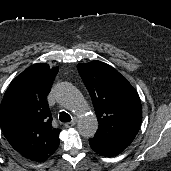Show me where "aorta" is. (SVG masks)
Returning a JSON list of instances; mask_svg holds the SVG:
<instances>
[{
	"instance_id": "1",
	"label": "aorta",
	"mask_w": 171,
	"mask_h": 171,
	"mask_svg": "<svg viewBox=\"0 0 171 171\" xmlns=\"http://www.w3.org/2000/svg\"><path fill=\"white\" fill-rule=\"evenodd\" d=\"M57 100L72 111L78 118L77 127L81 136L92 138L98 129V120L90 110L80 92L69 83H61L57 89Z\"/></svg>"
}]
</instances>
